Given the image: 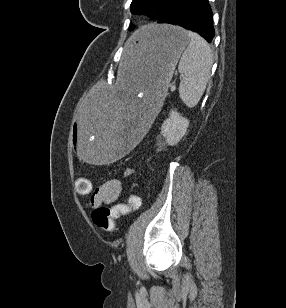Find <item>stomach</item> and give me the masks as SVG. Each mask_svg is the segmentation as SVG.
<instances>
[{"mask_svg": "<svg viewBox=\"0 0 286 308\" xmlns=\"http://www.w3.org/2000/svg\"><path fill=\"white\" fill-rule=\"evenodd\" d=\"M189 41L181 27L150 24L124 44L116 86H99L89 100H81L73 125L76 142L71 144L76 159L101 168L143 144L142 132L152 125L153 107H161Z\"/></svg>", "mask_w": 286, "mask_h": 308, "instance_id": "stomach-1", "label": "stomach"}]
</instances>
